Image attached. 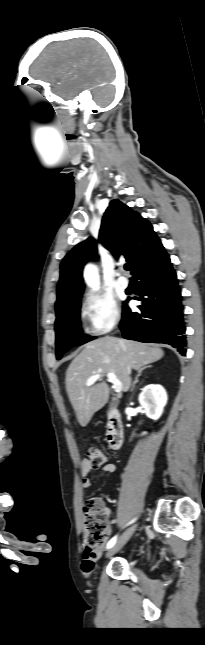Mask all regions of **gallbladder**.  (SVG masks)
<instances>
[{"label": "gallbladder", "mask_w": 205, "mask_h": 645, "mask_svg": "<svg viewBox=\"0 0 205 645\" xmlns=\"http://www.w3.org/2000/svg\"><path fill=\"white\" fill-rule=\"evenodd\" d=\"M113 407H114V403H111V404H110V408H113Z\"/></svg>", "instance_id": "bac80fb5"}]
</instances>
